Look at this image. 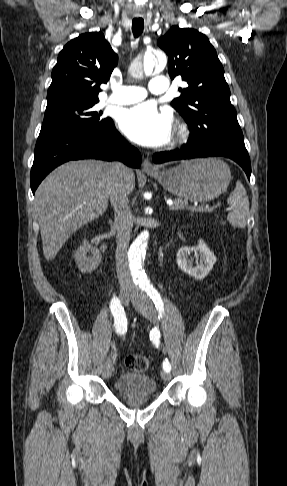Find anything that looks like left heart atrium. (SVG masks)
Masks as SVG:
<instances>
[{
  "mask_svg": "<svg viewBox=\"0 0 287 486\" xmlns=\"http://www.w3.org/2000/svg\"><path fill=\"white\" fill-rule=\"evenodd\" d=\"M122 132L132 141L149 147L166 144L171 136L172 118L153 103H142L124 110L119 118Z\"/></svg>",
  "mask_w": 287,
  "mask_h": 486,
  "instance_id": "left-heart-atrium-1",
  "label": "left heart atrium"
}]
</instances>
